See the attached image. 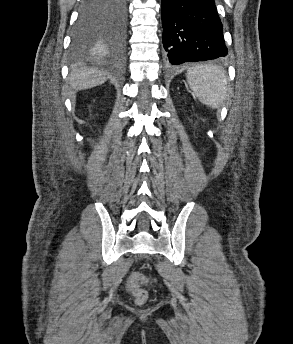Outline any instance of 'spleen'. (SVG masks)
I'll list each match as a JSON object with an SVG mask.
<instances>
[{
    "instance_id": "spleen-1",
    "label": "spleen",
    "mask_w": 293,
    "mask_h": 344,
    "mask_svg": "<svg viewBox=\"0 0 293 344\" xmlns=\"http://www.w3.org/2000/svg\"><path fill=\"white\" fill-rule=\"evenodd\" d=\"M187 82L194 95L205 105L220 107L227 97L228 85L218 67L201 65L187 71Z\"/></svg>"
}]
</instances>
